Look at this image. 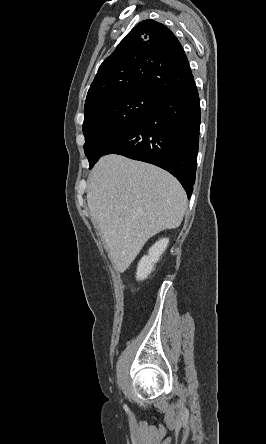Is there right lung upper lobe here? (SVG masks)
Wrapping results in <instances>:
<instances>
[{
    "label": "right lung upper lobe",
    "instance_id": "cb5924a9",
    "mask_svg": "<svg viewBox=\"0 0 266 444\" xmlns=\"http://www.w3.org/2000/svg\"><path fill=\"white\" fill-rule=\"evenodd\" d=\"M193 80L177 37L165 25L144 20L99 67L88 90L84 111L124 92L145 91L161 98Z\"/></svg>",
    "mask_w": 266,
    "mask_h": 444
}]
</instances>
